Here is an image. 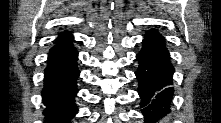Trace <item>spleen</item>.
Instances as JSON below:
<instances>
[{
	"instance_id": "3e777b00",
	"label": "spleen",
	"mask_w": 221,
	"mask_h": 123,
	"mask_svg": "<svg viewBox=\"0 0 221 123\" xmlns=\"http://www.w3.org/2000/svg\"><path fill=\"white\" fill-rule=\"evenodd\" d=\"M164 122H166V119L164 120ZM160 123H163V121H160Z\"/></svg>"
}]
</instances>
